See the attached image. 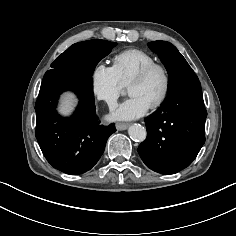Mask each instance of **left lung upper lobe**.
<instances>
[{"label":"left lung upper lobe","instance_id":"left-lung-upper-lobe-1","mask_svg":"<svg viewBox=\"0 0 236 236\" xmlns=\"http://www.w3.org/2000/svg\"><path fill=\"white\" fill-rule=\"evenodd\" d=\"M150 47L159 55L169 75V94L179 85L199 80L177 48L166 41H152Z\"/></svg>","mask_w":236,"mask_h":236}]
</instances>
